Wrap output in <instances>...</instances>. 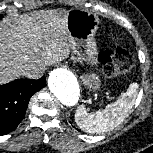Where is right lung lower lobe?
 I'll return each mask as SVG.
<instances>
[{"instance_id":"1","label":"right lung lower lobe","mask_w":153,"mask_h":153,"mask_svg":"<svg viewBox=\"0 0 153 153\" xmlns=\"http://www.w3.org/2000/svg\"><path fill=\"white\" fill-rule=\"evenodd\" d=\"M44 77L38 80L17 79L0 85V136L13 131L24 118L30 98L44 88Z\"/></svg>"}]
</instances>
